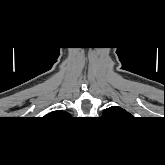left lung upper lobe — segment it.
Listing matches in <instances>:
<instances>
[{
	"instance_id": "1",
	"label": "left lung upper lobe",
	"mask_w": 165,
	"mask_h": 165,
	"mask_svg": "<svg viewBox=\"0 0 165 165\" xmlns=\"http://www.w3.org/2000/svg\"><path fill=\"white\" fill-rule=\"evenodd\" d=\"M124 114L127 115L128 113L124 109H122L118 106H112L110 108H107L103 112V116H107V117H109V115L111 117H115V116H121V115H124Z\"/></svg>"
}]
</instances>
